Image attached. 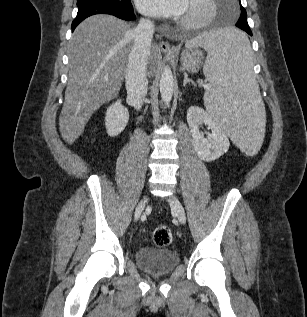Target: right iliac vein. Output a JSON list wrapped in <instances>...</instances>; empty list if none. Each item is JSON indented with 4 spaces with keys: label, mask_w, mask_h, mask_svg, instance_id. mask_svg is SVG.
Wrapping results in <instances>:
<instances>
[{
    "label": "right iliac vein",
    "mask_w": 307,
    "mask_h": 317,
    "mask_svg": "<svg viewBox=\"0 0 307 317\" xmlns=\"http://www.w3.org/2000/svg\"><path fill=\"white\" fill-rule=\"evenodd\" d=\"M148 203V197L145 196L142 201L139 203V205L137 206L136 208V211H135V220H138L143 209L145 208L146 204Z\"/></svg>",
    "instance_id": "1"
}]
</instances>
